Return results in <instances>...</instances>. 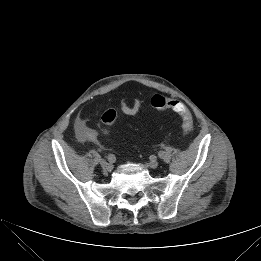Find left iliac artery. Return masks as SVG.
I'll return each instance as SVG.
<instances>
[{
	"instance_id": "left-iliac-artery-1",
	"label": "left iliac artery",
	"mask_w": 261,
	"mask_h": 261,
	"mask_svg": "<svg viewBox=\"0 0 261 261\" xmlns=\"http://www.w3.org/2000/svg\"><path fill=\"white\" fill-rule=\"evenodd\" d=\"M158 157H159L160 159H165V157H166L165 152H164V151H159V152H158Z\"/></svg>"
}]
</instances>
